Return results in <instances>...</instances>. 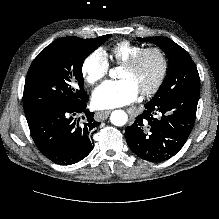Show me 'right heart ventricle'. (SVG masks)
<instances>
[{
  "mask_svg": "<svg viewBox=\"0 0 219 219\" xmlns=\"http://www.w3.org/2000/svg\"><path fill=\"white\" fill-rule=\"evenodd\" d=\"M144 47L129 40L117 42L110 51V59L113 63L122 65Z\"/></svg>",
  "mask_w": 219,
  "mask_h": 219,
  "instance_id": "right-heart-ventricle-1",
  "label": "right heart ventricle"
}]
</instances>
